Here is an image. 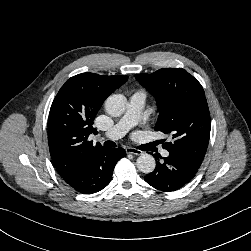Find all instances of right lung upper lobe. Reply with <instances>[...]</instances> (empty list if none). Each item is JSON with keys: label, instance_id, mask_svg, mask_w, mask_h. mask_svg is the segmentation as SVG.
Returning <instances> with one entry per match:
<instances>
[{"label": "right lung upper lobe", "instance_id": "cb5924a9", "mask_svg": "<svg viewBox=\"0 0 251 251\" xmlns=\"http://www.w3.org/2000/svg\"><path fill=\"white\" fill-rule=\"evenodd\" d=\"M127 76L82 73L71 77L56 95L49 113L48 144L52 161L65 179L91 151L105 147L88 140L94 118L104 100Z\"/></svg>", "mask_w": 251, "mask_h": 251}]
</instances>
